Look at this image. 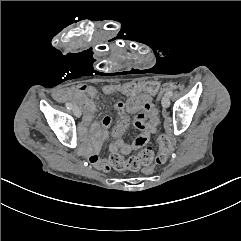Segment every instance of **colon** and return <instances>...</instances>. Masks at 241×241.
<instances>
[{
  "instance_id": "obj_1",
  "label": "colon",
  "mask_w": 241,
  "mask_h": 241,
  "mask_svg": "<svg viewBox=\"0 0 241 241\" xmlns=\"http://www.w3.org/2000/svg\"><path fill=\"white\" fill-rule=\"evenodd\" d=\"M185 83L183 81L175 82L168 81L163 83L162 88L158 92L155 97L156 101L163 99V94L166 92L167 89L177 90L178 87L183 86ZM159 88V85L156 81H140V80H133L130 84H123L121 86V91L126 93L127 95H134L137 91L147 92V93H154L155 88ZM169 139L166 136L161 137L160 139V154L155 161V166L157 168H163L166 165L165 159L170 154L169 151ZM155 151L154 148L151 146H146L143 148L137 155L130 159H125L119 154H114L110 157L109 165L117 170L122 169H132L136 170L142 166H145L142 174L145 177L150 176L153 168L155 167L153 164L150 165L154 161Z\"/></svg>"
}]
</instances>
